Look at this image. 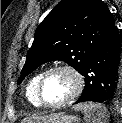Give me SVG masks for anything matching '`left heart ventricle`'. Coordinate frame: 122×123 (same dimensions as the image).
<instances>
[{
	"instance_id": "left-heart-ventricle-1",
	"label": "left heart ventricle",
	"mask_w": 122,
	"mask_h": 123,
	"mask_svg": "<svg viewBox=\"0 0 122 123\" xmlns=\"http://www.w3.org/2000/svg\"><path fill=\"white\" fill-rule=\"evenodd\" d=\"M74 88L72 76L65 71H56L47 76L42 94L48 103H57L67 98Z\"/></svg>"
}]
</instances>
